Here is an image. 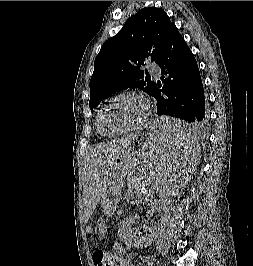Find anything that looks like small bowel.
<instances>
[{
	"instance_id": "small-bowel-1",
	"label": "small bowel",
	"mask_w": 253,
	"mask_h": 266,
	"mask_svg": "<svg viewBox=\"0 0 253 266\" xmlns=\"http://www.w3.org/2000/svg\"><path fill=\"white\" fill-rule=\"evenodd\" d=\"M116 250L120 253H123V249L120 247H116ZM144 262L146 266H153V258L149 255L145 256ZM119 266H134L127 258L119 259Z\"/></svg>"
}]
</instances>
